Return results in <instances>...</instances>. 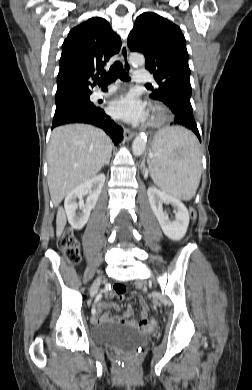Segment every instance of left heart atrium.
Returning a JSON list of instances; mask_svg holds the SVG:
<instances>
[{"label": "left heart atrium", "mask_w": 252, "mask_h": 390, "mask_svg": "<svg viewBox=\"0 0 252 390\" xmlns=\"http://www.w3.org/2000/svg\"><path fill=\"white\" fill-rule=\"evenodd\" d=\"M110 113L115 118L130 123H142L148 117L146 104L135 94L129 93L110 104Z\"/></svg>", "instance_id": "1"}]
</instances>
